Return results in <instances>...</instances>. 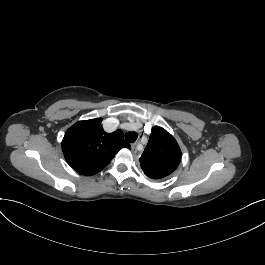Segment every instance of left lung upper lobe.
<instances>
[{"instance_id":"5c2ea615","label":"left lung upper lobe","mask_w":265,"mask_h":265,"mask_svg":"<svg viewBox=\"0 0 265 265\" xmlns=\"http://www.w3.org/2000/svg\"><path fill=\"white\" fill-rule=\"evenodd\" d=\"M139 161L146 176L151 179H161L178 167L181 150L171 134L155 126Z\"/></svg>"}]
</instances>
